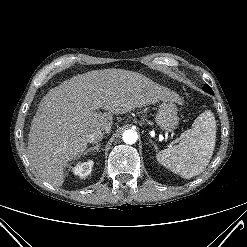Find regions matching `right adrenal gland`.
<instances>
[{"mask_svg":"<svg viewBox=\"0 0 247 247\" xmlns=\"http://www.w3.org/2000/svg\"><path fill=\"white\" fill-rule=\"evenodd\" d=\"M100 147H101V143L95 145L94 147H91V148L87 149V150L84 152V154H88V153H90L91 151H94V150H96V151L98 152L99 149H100Z\"/></svg>","mask_w":247,"mask_h":247,"instance_id":"2a0ac1e0","label":"right adrenal gland"}]
</instances>
